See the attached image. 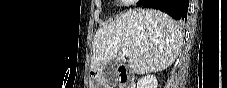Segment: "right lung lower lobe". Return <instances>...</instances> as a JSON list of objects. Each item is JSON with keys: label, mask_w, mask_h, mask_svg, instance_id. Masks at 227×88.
<instances>
[{"label": "right lung lower lobe", "mask_w": 227, "mask_h": 88, "mask_svg": "<svg viewBox=\"0 0 227 88\" xmlns=\"http://www.w3.org/2000/svg\"><path fill=\"white\" fill-rule=\"evenodd\" d=\"M138 5L158 9L176 20H187L189 0H141Z\"/></svg>", "instance_id": "1"}]
</instances>
